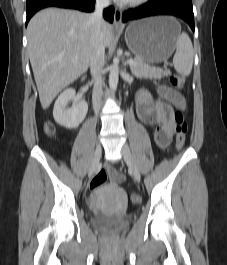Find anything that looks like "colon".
<instances>
[{"instance_id": "colon-1", "label": "colon", "mask_w": 227, "mask_h": 265, "mask_svg": "<svg viewBox=\"0 0 227 265\" xmlns=\"http://www.w3.org/2000/svg\"><path fill=\"white\" fill-rule=\"evenodd\" d=\"M170 83L171 85L176 89H181L185 84V77L179 74H174L170 77ZM174 121H175V142H176V148L182 149L185 141H186V135L188 132V125L185 121L184 115L182 112L177 111L174 115ZM44 131L47 135H51L54 132V127L51 123L47 122L44 124ZM108 175L105 170H100L96 173V175L93 177L90 183V189L94 190L98 187H100L102 184H104L107 181ZM131 202L134 204H138L140 202V196L137 194H132Z\"/></svg>"}]
</instances>
